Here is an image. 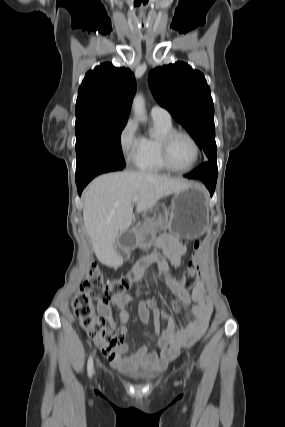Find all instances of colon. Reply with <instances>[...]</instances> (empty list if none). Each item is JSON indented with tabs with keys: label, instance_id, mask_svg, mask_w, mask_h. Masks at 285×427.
Instances as JSON below:
<instances>
[{
	"label": "colon",
	"instance_id": "1",
	"mask_svg": "<svg viewBox=\"0 0 285 427\" xmlns=\"http://www.w3.org/2000/svg\"><path fill=\"white\" fill-rule=\"evenodd\" d=\"M126 245L130 241H124ZM201 248L199 242L194 244L195 253L188 269L180 278V285L186 289H193L198 284L201 268L198 263V252ZM132 283V276L127 274L118 278L105 281L102 272L97 266L92 265L87 271L79 291L73 298L74 314L80 327L102 348L103 352L113 356L115 350L122 344L123 339L118 332L110 329L105 319L98 315L95 308L96 302L108 304L115 296L128 290Z\"/></svg>",
	"mask_w": 285,
	"mask_h": 427
}]
</instances>
